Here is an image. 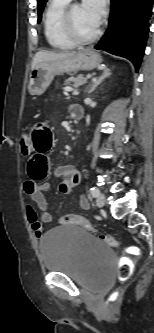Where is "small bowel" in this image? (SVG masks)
Returning <instances> with one entry per match:
<instances>
[{
  "instance_id": "small-bowel-1",
  "label": "small bowel",
  "mask_w": 154,
  "mask_h": 333,
  "mask_svg": "<svg viewBox=\"0 0 154 333\" xmlns=\"http://www.w3.org/2000/svg\"><path fill=\"white\" fill-rule=\"evenodd\" d=\"M74 106L76 105L71 106L70 111ZM30 136L32 152L27 163L28 180L24 182L23 189L41 211L39 218L34 209L29 207L27 211L31 228L36 237H40L42 235V224L52 221V214L47 199L50 186L48 183L42 181L47 177L49 172L48 152L53 146V134L47 124L39 122L31 128ZM55 175L61 178L59 188L65 194L71 193L80 183V174L71 165L57 167ZM78 203L82 210L89 208V201L83 195L79 197Z\"/></svg>"
}]
</instances>
